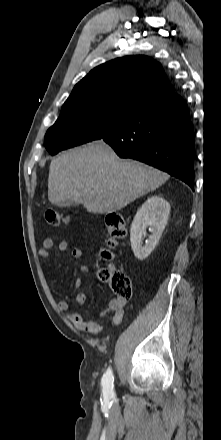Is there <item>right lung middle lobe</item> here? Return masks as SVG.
<instances>
[{
    "mask_svg": "<svg viewBox=\"0 0 221 440\" xmlns=\"http://www.w3.org/2000/svg\"><path fill=\"white\" fill-rule=\"evenodd\" d=\"M135 110L115 102L76 101L63 105L55 124L45 135L51 155L61 150L98 140Z\"/></svg>",
    "mask_w": 221,
    "mask_h": 440,
    "instance_id": "dd1d6c3e",
    "label": "right lung middle lobe"
}]
</instances>
